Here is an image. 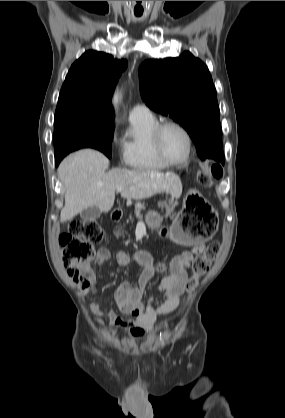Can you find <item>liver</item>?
I'll return each instance as SVG.
<instances>
[{
  "label": "liver",
  "instance_id": "obj_1",
  "mask_svg": "<svg viewBox=\"0 0 285 418\" xmlns=\"http://www.w3.org/2000/svg\"><path fill=\"white\" fill-rule=\"evenodd\" d=\"M108 166V158L92 149L75 152L60 163L57 172L66 190L61 222L72 220L91 206L109 212L119 187H124L121 196L127 199H147L162 192L174 198L181 196V180L172 172L116 168L106 173Z\"/></svg>",
  "mask_w": 285,
  "mask_h": 418
}]
</instances>
